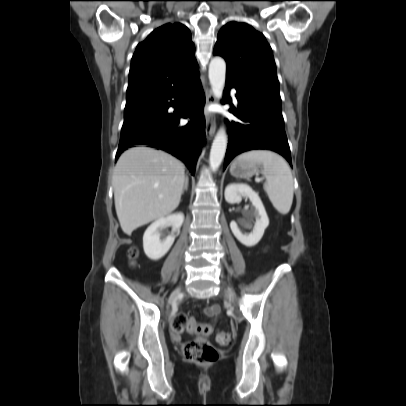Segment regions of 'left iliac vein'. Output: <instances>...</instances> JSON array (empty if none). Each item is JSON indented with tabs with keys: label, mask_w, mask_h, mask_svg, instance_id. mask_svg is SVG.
<instances>
[{
	"label": "left iliac vein",
	"mask_w": 406,
	"mask_h": 406,
	"mask_svg": "<svg viewBox=\"0 0 406 406\" xmlns=\"http://www.w3.org/2000/svg\"><path fill=\"white\" fill-rule=\"evenodd\" d=\"M226 292H227V294H228V297H229L232 301H234V299H235V294H234V292H233L230 288H226Z\"/></svg>",
	"instance_id": "obj_1"
}]
</instances>
